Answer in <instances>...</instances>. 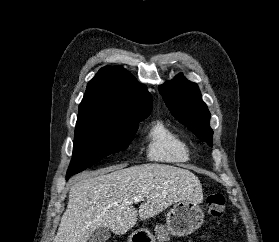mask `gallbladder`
Wrapping results in <instances>:
<instances>
[{"label": "gallbladder", "mask_w": 279, "mask_h": 242, "mask_svg": "<svg viewBox=\"0 0 279 242\" xmlns=\"http://www.w3.org/2000/svg\"><path fill=\"white\" fill-rule=\"evenodd\" d=\"M109 238V229L100 227L89 236L88 242H106Z\"/></svg>", "instance_id": "obj_1"}]
</instances>
